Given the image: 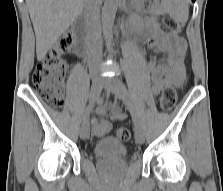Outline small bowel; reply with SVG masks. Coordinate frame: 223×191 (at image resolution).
<instances>
[{"label":"small bowel","mask_w":223,"mask_h":191,"mask_svg":"<svg viewBox=\"0 0 223 191\" xmlns=\"http://www.w3.org/2000/svg\"><path fill=\"white\" fill-rule=\"evenodd\" d=\"M130 28L139 32L151 49L165 55L164 61L153 59L148 63L154 94H160L166 86H181L185 78L184 60L187 50L185 39L175 33L165 32L155 18H148L143 22L133 21ZM96 114L98 117L88 120L89 115H87L85 118L95 137L106 135L113 123L126 119V114L115 102L98 106Z\"/></svg>","instance_id":"obj_1"}]
</instances>
